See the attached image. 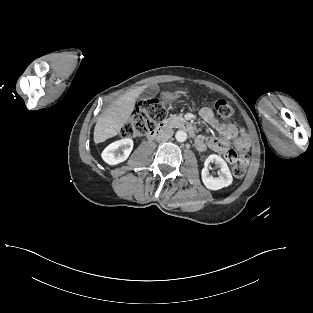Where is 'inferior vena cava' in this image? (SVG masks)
<instances>
[{
    "label": "inferior vena cava",
    "instance_id": "inferior-vena-cava-1",
    "mask_svg": "<svg viewBox=\"0 0 313 313\" xmlns=\"http://www.w3.org/2000/svg\"><path fill=\"white\" fill-rule=\"evenodd\" d=\"M172 135H173L172 129H165L157 136V140L158 141L168 140L169 138L172 137Z\"/></svg>",
    "mask_w": 313,
    "mask_h": 313
}]
</instances>
